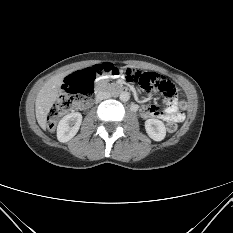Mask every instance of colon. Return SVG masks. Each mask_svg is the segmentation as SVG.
<instances>
[{"label":"colon","mask_w":233,"mask_h":233,"mask_svg":"<svg viewBox=\"0 0 233 233\" xmlns=\"http://www.w3.org/2000/svg\"><path fill=\"white\" fill-rule=\"evenodd\" d=\"M104 74L123 76L127 81L138 83L145 90L157 88L166 95L172 94L175 90L173 83L157 74L142 73L132 69L120 70L111 64L94 66L93 68L73 73L65 79L64 92L59 95L47 117L49 129L53 130L60 117L68 112L72 106L89 103L93 97L94 79L96 76ZM185 106V102L179 104L180 109H184ZM176 129V123L167 124L169 132H174Z\"/></svg>","instance_id":"1"}]
</instances>
